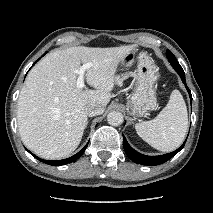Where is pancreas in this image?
<instances>
[{
    "label": "pancreas",
    "instance_id": "obj_1",
    "mask_svg": "<svg viewBox=\"0 0 213 213\" xmlns=\"http://www.w3.org/2000/svg\"><path fill=\"white\" fill-rule=\"evenodd\" d=\"M129 76H130V73H125V74L118 75V76H116L115 81H116V83L121 84Z\"/></svg>",
    "mask_w": 213,
    "mask_h": 213
}]
</instances>
